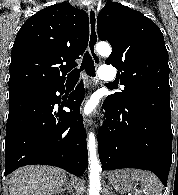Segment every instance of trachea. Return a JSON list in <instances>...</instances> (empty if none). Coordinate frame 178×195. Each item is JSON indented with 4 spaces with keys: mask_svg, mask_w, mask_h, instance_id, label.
Returning <instances> with one entry per match:
<instances>
[{
    "mask_svg": "<svg viewBox=\"0 0 178 195\" xmlns=\"http://www.w3.org/2000/svg\"><path fill=\"white\" fill-rule=\"evenodd\" d=\"M83 69H85L87 75H89L90 77L95 76V67L89 52H86L84 54L80 68L75 69L68 75L67 82H77V80L79 79V74ZM108 87H114V85L110 84L108 85Z\"/></svg>",
    "mask_w": 178,
    "mask_h": 195,
    "instance_id": "obj_1",
    "label": "trachea"
}]
</instances>
